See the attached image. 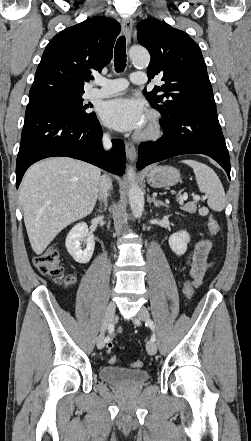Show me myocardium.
<instances>
[{
  "mask_svg": "<svg viewBox=\"0 0 251 441\" xmlns=\"http://www.w3.org/2000/svg\"><path fill=\"white\" fill-rule=\"evenodd\" d=\"M162 133V126L160 116L157 112L151 111L147 116L146 126L137 137L140 140H154L157 139Z\"/></svg>",
  "mask_w": 251,
  "mask_h": 441,
  "instance_id": "obj_1",
  "label": "myocardium"
}]
</instances>
